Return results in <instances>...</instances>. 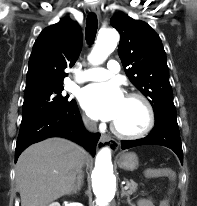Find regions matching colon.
Here are the masks:
<instances>
[{"label": "colon", "mask_w": 197, "mask_h": 206, "mask_svg": "<svg viewBox=\"0 0 197 206\" xmlns=\"http://www.w3.org/2000/svg\"><path fill=\"white\" fill-rule=\"evenodd\" d=\"M161 206H169V203L167 200L162 201Z\"/></svg>", "instance_id": "colon-1"}]
</instances>
